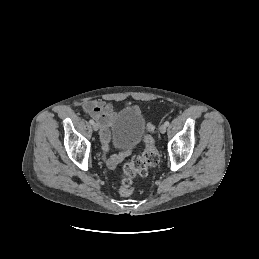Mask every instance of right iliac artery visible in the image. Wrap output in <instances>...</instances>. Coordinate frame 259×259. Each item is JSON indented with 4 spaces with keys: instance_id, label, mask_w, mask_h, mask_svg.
<instances>
[{
    "instance_id": "right-iliac-artery-1",
    "label": "right iliac artery",
    "mask_w": 259,
    "mask_h": 259,
    "mask_svg": "<svg viewBox=\"0 0 259 259\" xmlns=\"http://www.w3.org/2000/svg\"><path fill=\"white\" fill-rule=\"evenodd\" d=\"M89 123L93 125V124H94V121H93L92 119H90V120H89Z\"/></svg>"
}]
</instances>
